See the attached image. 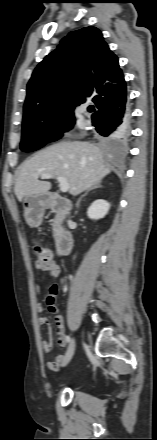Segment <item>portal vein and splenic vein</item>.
I'll return each mask as SVG.
<instances>
[{
  "mask_svg": "<svg viewBox=\"0 0 157 440\" xmlns=\"http://www.w3.org/2000/svg\"><path fill=\"white\" fill-rule=\"evenodd\" d=\"M56 178L57 181L59 182V186H60V190L61 192H67L69 190V183L67 182V180L64 177L61 176H55L52 174H42L41 175V179H51V178Z\"/></svg>",
  "mask_w": 157,
  "mask_h": 440,
  "instance_id": "obj_1",
  "label": "portal vein and splenic vein"
}]
</instances>
